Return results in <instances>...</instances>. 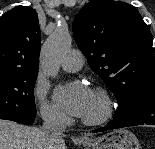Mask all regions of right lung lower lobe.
Returning a JSON list of instances; mask_svg holds the SVG:
<instances>
[{"mask_svg":"<svg viewBox=\"0 0 155 149\" xmlns=\"http://www.w3.org/2000/svg\"><path fill=\"white\" fill-rule=\"evenodd\" d=\"M34 119H35V116L33 118L27 119L25 122H22V123L26 124V125L31 124V123H33Z\"/></svg>","mask_w":155,"mask_h":149,"instance_id":"obj_1","label":"right lung lower lobe"}]
</instances>
